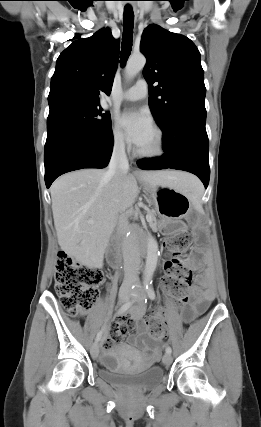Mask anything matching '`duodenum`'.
<instances>
[{"label":"duodenum","instance_id":"duodenum-1","mask_svg":"<svg viewBox=\"0 0 261 427\" xmlns=\"http://www.w3.org/2000/svg\"><path fill=\"white\" fill-rule=\"evenodd\" d=\"M120 239L114 237L111 240V247L108 253V263L113 268H118L121 265V256L119 252Z\"/></svg>","mask_w":261,"mask_h":427}]
</instances>
